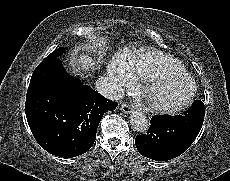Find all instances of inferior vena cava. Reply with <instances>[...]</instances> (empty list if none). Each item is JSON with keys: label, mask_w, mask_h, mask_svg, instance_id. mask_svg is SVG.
<instances>
[{"label": "inferior vena cava", "mask_w": 230, "mask_h": 181, "mask_svg": "<svg viewBox=\"0 0 230 181\" xmlns=\"http://www.w3.org/2000/svg\"><path fill=\"white\" fill-rule=\"evenodd\" d=\"M98 93L110 100H120L124 96L123 88L110 77H100L95 84Z\"/></svg>", "instance_id": "1"}]
</instances>
